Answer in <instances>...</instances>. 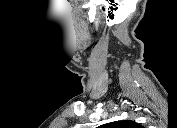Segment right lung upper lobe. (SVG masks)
Masks as SVG:
<instances>
[{"instance_id":"1","label":"right lung upper lobe","mask_w":177,"mask_h":128,"mask_svg":"<svg viewBox=\"0 0 177 128\" xmlns=\"http://www.w3.org/2000/svg\"><path fill=\"white\" fill-rule=\"evenodd\" d=\"M107 128H141L142 126L132 120L114 121L103 125Z\"/></svg>"}]
</instances>
